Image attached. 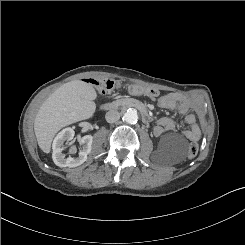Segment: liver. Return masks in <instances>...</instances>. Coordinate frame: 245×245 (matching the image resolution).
Listing matches in <instances>:
<instances>
[{
  "label": "liver",
  "mask_w": 245,
  "mask_h": 245,
  "mask_svg": "<svg viewBox=\"0 0 245 245\" xmlns=\"http://www.w3.org/2000/svg\"><path fill=\"white\" fill-rule=\"evenodd\" d=\"M94 87L81 80L63 84L41 105L34 131L40 149L50 153L56 133L65 126L91 118L96 110Z\"/></svg>",
  "instance_id": "obj_1"
}]
</instances>
